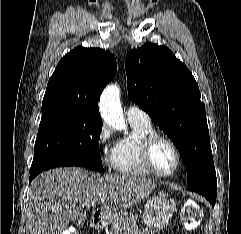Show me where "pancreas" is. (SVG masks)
Segmentation results:
<instances>
[{
	"instance_id": "cf45deb5",
	"label": "pancreas",
	"mask_w": 241,
	"mask_h": 234,
	"mask_svg": "<svg viewBox=\"0 0 241 234\" xmlns=\"http://www.w3.org/2000/svg\"><path fill=\"white\" fill-rule=\"evenodd\" d=\"M107 234H124L121 232L120 227H110Z\"/></svg>"
}]
</instances>
